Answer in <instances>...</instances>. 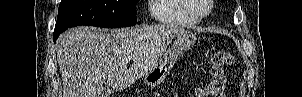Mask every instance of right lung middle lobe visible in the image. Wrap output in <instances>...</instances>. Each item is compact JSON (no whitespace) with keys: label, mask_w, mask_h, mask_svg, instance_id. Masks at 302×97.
I'll use <instances>...</instances> for the list:
<instances>
[{"label":"right lung middle lobe","mask_w":302,"mask_h":97,"mask_svg":"<svg viewBox=\"0 0 302 97\" xmlns=\"http://www.w3.org/2000/svg\"><path fill=\"white\" fill-rule=\"evenodd\" d=\"M138 0H62L55 31L69 27L92 25L97 27H127L137 22Z\"/></svg>","instance_id":"1"}]
</instances>
